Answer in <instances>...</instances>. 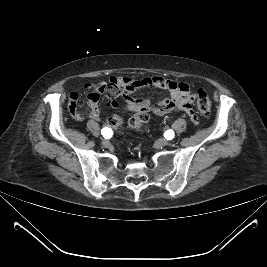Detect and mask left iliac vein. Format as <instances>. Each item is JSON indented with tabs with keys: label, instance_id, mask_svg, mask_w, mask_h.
I'll return each mask as SVG.
<instances>
[{
	"label": "left iliac vein",
	"instance_id": "1",
	"mask_svg": "<svg viewBox=\"0 0 267 267\" xmlns=\"http://www.w3.org/2000/svg\"><path fill=\"white\" fill-rule=\"evenodd\" d=\"M169 144V141L166 140V139H158L156 141V146L157 147H164V146H167Z\"/></svg>",
	"mask_w": 267,
	"mask_h": 267
}]
</instances>
